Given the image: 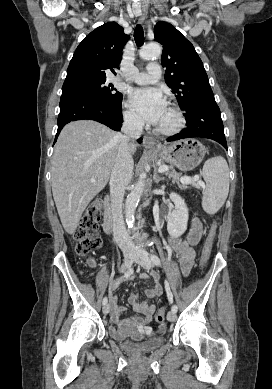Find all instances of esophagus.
<instances>
[{
	"instance_id": "1",
	"label": "esophagus",
	"mask_w": 272,
	"mask_h": 389,
	"mask_svg": "<svg viewBox=\"0 0 272 389\" xmlns=\"http://www.w3.org/2000/svg\"><path fill=\"white\" fill-rule=\"evenodd\" d=\"M138 15L140 17L139 18L140 22H142L145 19L146 15H147V9L143 8L138 13ZM143 141H144V145H145L146 148H153L156 145V142H155L154 138H152L151 136H148V135L144 136V140Z\"/></svg>"
}]
</instances>
